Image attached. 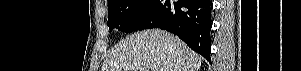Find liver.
Returning <instances> with one entry per match:
<instances>
[{
  "label": "liver",
  "instance_id": "obj_1",
  "mask_svg": "<svg viewBox=\"0 0 301 71\" xmlns=\"http://www.w3.org/2000/svg\"><path fill=\"white\" fill-rule=\"evenodd\" d=\"M202 57L173 34L150 29L120 41L105 59L101 71H198Z\"/></svg>",
  "mask_w": 301,
  "mask_h": 71
}]
</instances>
